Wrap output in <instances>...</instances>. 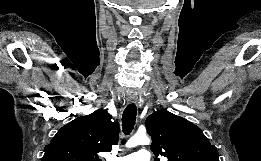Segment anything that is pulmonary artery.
Segmentation results:
<instances>
[{
    "mask_svg": "<svg viewBox=\"0 0 261 161\" xmlns=\"http://www.w3.org/2000/svg\"><path fill=\"white\" fill-rule=\"evenodd\" d=\"M151 157L147 149H139L127 156L116 157L114 161H150Z\"/></svg>",
    "mask_w": 261,
    "mask_h": 161,
    "instance_id": "pulmonary-artery-1",
    "label": "pulmonary artery"
}]
</instances>
